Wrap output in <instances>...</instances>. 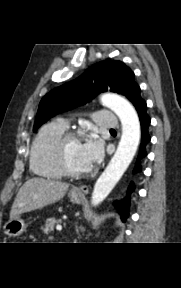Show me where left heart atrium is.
<instances>
[{
  "label": "left heart atrium",
  "mask_w": 181,
  "mask_h": 288,
  "mask_svg": "<svg viewBox=\"0 0 181 288\" xmlns=\"http://www.w3.org/2000/svg\"><path fill=\"white\" fill-rule=\"evenodd\" d=\"M82 153L89 167L100 160L103 154L100 141L94 137L82 144Z\"/></svg>",
  "instance_id": "left-heart-atrium-1"
}]
</instances>
